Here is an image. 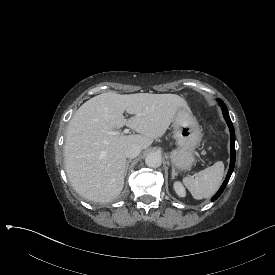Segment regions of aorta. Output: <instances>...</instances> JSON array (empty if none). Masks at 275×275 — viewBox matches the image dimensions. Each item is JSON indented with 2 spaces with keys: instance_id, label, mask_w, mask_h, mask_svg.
Returning a JSON list of instances; mask_svg holds the SVG:
<instances>
[{
  "instance_id": "762f6f07",
  "label": "aorta",
  "mask_w": 275,
  "mask_h": 275,
  "mask_svg": "<svg viewBox=\"0 0 275 275\" xmlns=\"http://www.w3.org/2000/svg\"><path fill=\"white\" fill-rule=\"evenodd\" d=\"M145 163L149 167L157 168L162 164L161 155L156 152L149 153L145 158Z\"/></svg>"
}]
</instances>
